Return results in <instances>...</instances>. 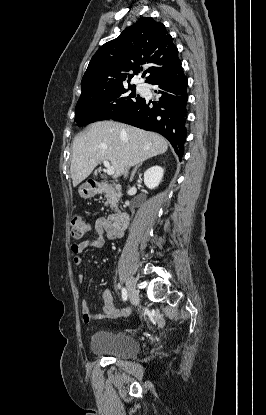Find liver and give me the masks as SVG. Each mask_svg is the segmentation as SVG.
I'll return each instance as SVG.
<instances>
[{
	"label": "liver",
	"instance_id": "obj_1",
	"mask_svg": "<svg viewBox=\"0 0 266 415\" xmlns=\"http://www.w3.org/2000/svg\"><path fill=\"white\" fill-rule=\"evenodd\" d=\"M167 149L168 141L157 133L114 121L93 123L73 140L70 167L73 186L85 180L101 161H110L117 178L129 167Z\"/></svg>",
	"mask_w": 266,
	"mask_h": 415
}]
</instances>
